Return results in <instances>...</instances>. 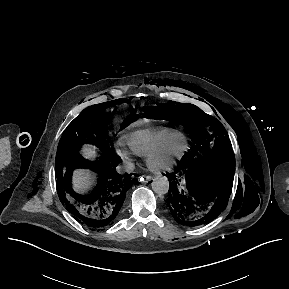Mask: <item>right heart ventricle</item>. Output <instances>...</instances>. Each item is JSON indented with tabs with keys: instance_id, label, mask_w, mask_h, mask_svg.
<instances>
[{
	"instance_id": "obj_1",
	"label": "right heart ventricle",
	"mask_w": 289,
	"mask_h": 289,
	"mask_svg": "<svg viewBox=\"0 0 289 289\" xmlns=\"http://www.w3.org/2000/svg\"><path fill=\"white\" fill-rule=\"evenodd\" d=\"M177 133L179 131L169 127L145 128L126 135L123 142L132 153L144 157Z\"/></svg>"
}]
</instances>
